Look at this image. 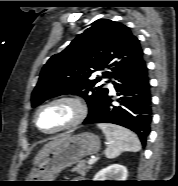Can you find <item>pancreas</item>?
<instances>
[{
  "label": "pancreas",
  "mask_w": 178,
  "mask_h": 186,
  "mask_svg": "<svg viewBox=\"0 0 178 186\" xmlns=\"http://www.w3.org/2000/svg\"><path fill=\"white\" fill-rule=\"evenodd\" d=\"M92 168V165H86L84 161H81L77 164V166L72 168V172H76L80 175L85 176L86 173Z\"/></svg>",
  "instance_id": "pancreas-1"
}]
</instances>
